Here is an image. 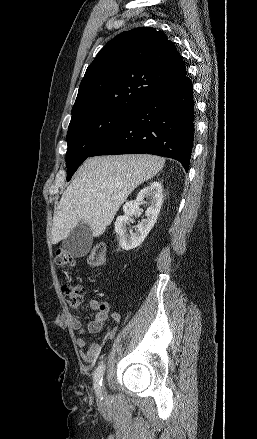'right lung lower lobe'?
Returning <instances> with one entry per match:
<instances>
[{"mask_svg": "<svg viewBox=\"0 0 257 439\" xmlns=\"http://www.w3.org/2000/svg\"><path fill=\"white\" fill-rule=\"evenodd\" d=\"M193 140V90L185 75L145 100L89 157L148 153L176 159L188 171Z\"/></svg>", "mask_w": 257, "mask_h": 439, "instance_id": "obj_1", "label": "right lung lower lobe"}]
</instances>
